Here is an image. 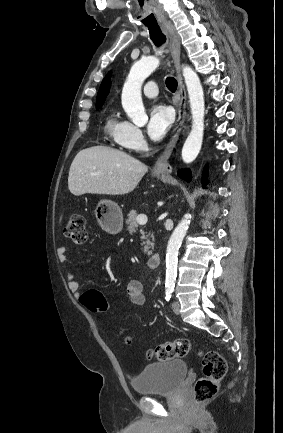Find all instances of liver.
Returning a JSON list of instances; mask_svg holds the SVG:
<instances>
[{"instance_id": "6515ba94", "label": "liver", "mask_w": 283, "mask_h": 433, "mask_svg": "<svg viewBox=\"0 0 283 433\" xmlns=\"http://www.w3.org/2000/svg\"><path fill=\"white\" fill-rule=\"evenodd\" d=\"M148 166L111 146H90L76 154L69 170L72 194H126L139 184Z\"/></svg>"}]
</instances>
